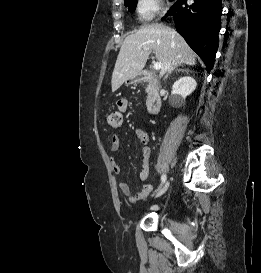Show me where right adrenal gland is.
I'll return each mask as SVG.
<instances>
[{
    "mask_svg": "<svg viewBox=\"0 0 261 273\" xmlns=\"http://www.w3.org/2000/svg\"><path fill=\"white\" fill-rule=\"evenodd\" d=\"M180 66H181V65H180ZM182 67H183V65H182ZM175 68H177V66L171 68V69L168 71L167 75L164 77V80L167 79L168 75L171 74L172 71H174ZM177 71H182V72H183V71H186V72H188V70H184V69H179V70H177Z\"/></svg>",
    "mask_w": 261,
    "mask_h": 273,
    "instance_id": "right-adrenal-gland-1",
    "label": "right adrenal gland"
}]
</instances>
